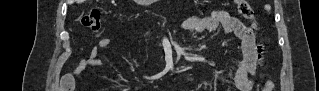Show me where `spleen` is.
<instances>
[{"mask_svg": "<svg viewBox=\"0 0 319 91\" xmlns=\"http://www.w3.org/2000/svg\"><path fill=\"white\" fill-rule=\"evenodd\" d=\"M271 7L269 5L265 6V10H267L268 12L270 11Z\"/></svg>", "mask_w": 319, "mask_h": 91, "instance_id": "3e777b00", "label": "spleen"}]
</instances>
